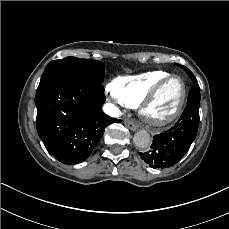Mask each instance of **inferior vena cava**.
<instances>
[{
  "label": "inferior vena cava",
  "instance_id": "602c4592",
  "mask_svg": "<svg viewBox=\"0 0 229 229\" xmlns=\"http://www.w3.org/2000/svg\"><path fill=\"white\" fill-rule=\"evenodd\" d=\"M103 110H104V112L106 113V114H108V115H112V116H115V112L117 113V116H118V111H117V109L114 107V105L113 104H105L104 106H103Z\"/></svg>",
  "mask_w": 229,
  "mask_h": 229
}]
</instances>
